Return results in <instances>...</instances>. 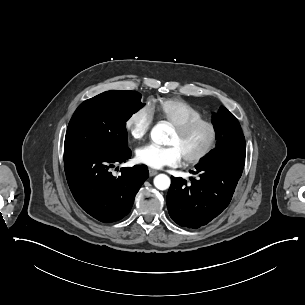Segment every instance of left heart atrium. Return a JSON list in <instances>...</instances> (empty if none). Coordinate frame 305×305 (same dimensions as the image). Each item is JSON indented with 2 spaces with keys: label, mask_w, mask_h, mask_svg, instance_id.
<instances>
[{
  "label": "left heart atrium",
  "mask_w": 305,
  "mask_h": 305,
  "mask_svg": "<svg viewBox=\"0 0 305 305\" xmlns=\"http://www.w3.org/2000/svg\"><path fill=\"white\" fill-rule=\"evenodd\" d=\"M136 159L149 167L160 168L179 163L182 155L175 145L161 146L149 143L136 149Z\"/></svg>",
  "instance_id": "obj_1"
}]
</instances>
